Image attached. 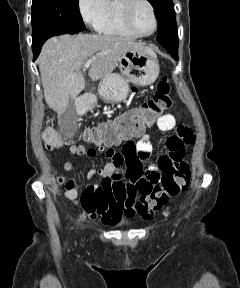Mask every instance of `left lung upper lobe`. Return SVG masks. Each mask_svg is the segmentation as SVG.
<instances>
[{
  "instance_id": "5c2ea615",
  "label": "left lung upper lobe",
  "mask_w": 240,
  "mask_h": 288,
  "mask_svg": "<svg viewBox=\"0 0 240 288\" xmlns=\"http://www.w3.org/2000/svg\"><path fill=\"white\" fill-rule=\"evenodd\" d=\"M155 9L159 25L157 40L162 45H178L177 24L172 0H148Z\"/></svg>"
}]
</instances>
